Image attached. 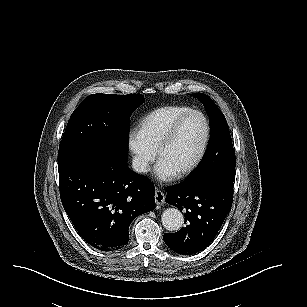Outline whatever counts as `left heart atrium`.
Returning a JSON list of instances; mask_svg holds the SVG:
<instances>
[{"label": "left heart atrium", "instance_id": "left-heart-atrium-1", "mask_svg": "<svg viewBox=\"0 0 307 307\" xmlns=\"http://www.w3.org/2000/svg\"><path fill=\"white\" fill-rule=\"evenodd\" d=\"M158 172L162 176L163 180L167 183H172L176 180L178 172L175 168L171 167V164L168 160H161L158 165Z\"/></svg>", "mask_w": 307, "mask_h": 307}]
</instances>
